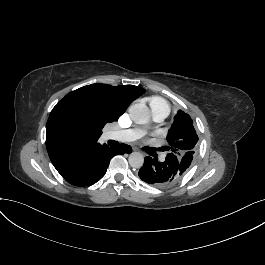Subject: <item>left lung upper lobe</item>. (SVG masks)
<instances>
[{"mask_svg": "<svg viewBox=\"0 0 265 265\" xmlns=\"http://www.w3.org/2000/svg\"><path fill=\"white\" fill-rule=\"evenodd\" d=\"M168 146L163 147L175 156L183 167V176L189 170L190 164L197 150L198 136L191 117L179 110L174 117L172 127L167 135Z\"/></svg>", "mask_w": 265, "mask_h": 265, "instance_id": "5c2ea615", "label": "left lung upper lobe"}]
</instances>
